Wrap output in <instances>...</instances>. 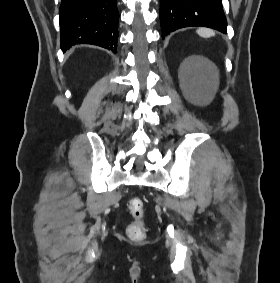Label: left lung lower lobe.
Here are the masks:
<instances>
[{"mask_svg": "<svg viewBox=\"0 0 280 283\" xmlns=\"http://www.w3.org/2000/svg\"><path fill=\"white\" fill-rule=\"evenodd\" d=\"M160 24L163 39L170 32L188 26L227 32L221 0H160Z\"/></svg>", "mask_w": 280, "mask_h": 283, "instance_id": "0a47b994", "label": "left lung lower lobe"}]
</instances>
